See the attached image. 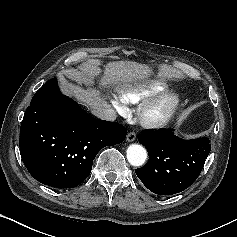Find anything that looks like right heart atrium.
Listing matches in <instances>:
<instances>
[{
	"mask_svg": "<svg viewBox=\"0 0 237 237\" xmlns=\"http://www.w3.org/2000/svg\"><path fill=\"white\" fill-rule=\"evenodd\" d=\"M113 105L115 106V108L119 111V112H121V113H123V112H125L126 111V107H125V105L121 102V101H119L118 99H113Z\"/></svg>",
	"mask_w": 237,
	"mask_h": 237,
	"instance_id": "d8ad5b80",
	"label": "right heart atrium"
}]
</instances>
